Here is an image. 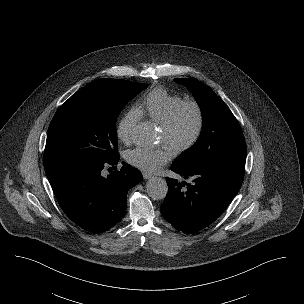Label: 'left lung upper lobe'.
<instances>
[{
	"instance_id": "left-lung-upper-lobe-1",
	"label": "left lung upper lobe",
	"mask_w": 304,
	"mask_h": 304,
	"mask_svg": "<svg viewBox=\"0 0 304 304\" xmlns=\"http://www.w3.org/2000/svg\"><path fill=\"white\" fill-rule=\"evenodd\" d=\"M174 81L193 92L203 117V130L199 139L174 163L190 170L217 166L244 168L247 155L245 139L227 105L196 78H177Z\"/></svg>"
}]
</instances>
